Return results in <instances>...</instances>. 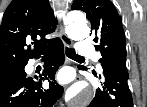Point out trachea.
I'll return each instance as SVG.
<instances>
[{"label":"trachea","mask_w":147,"mask_h":107,"mask_svg":"<svg viewBox=\"0 0 147 107\" xmlns=\"http://www.w3.org/2000/svg\"><path fill=\"white\" fill-rule=\"evenodd\" d=\"M66 55L67 57L72 58V59H84L83 56L76 54L74 50L68 49V48H66Z\"/></svg>","instance_id":"3493384b"}]
</instances>
